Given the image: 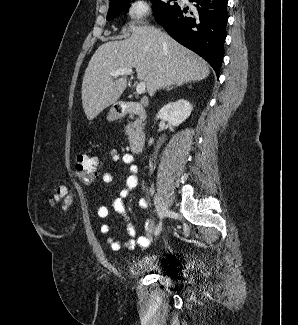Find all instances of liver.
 <instances>
[{
    "label": "liver",
    "instance_id": "liver-1",
    "mask_svg": "<svg viewBox=\"0 0 298 325\" xmlns=\"http://www.w3.org/2000/svg\"><path fill=\"white\" fill-rule=\"evenodd\" d=\"M125 40H110L98 46L84 72L82 106L88 120H93L104 108L114 104L127 88V76H111L117 68H136L138 80L153 96L159 88L175 82L202 80L210 68L201 56L185 48L167 32L155 26L130 24Z\"/></svg>",
    "mask_w": 298,
    "mask_h": 325
}]
</instances>
